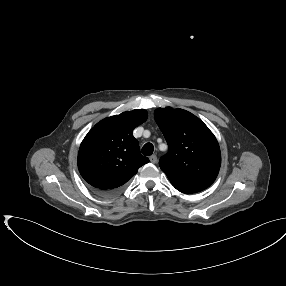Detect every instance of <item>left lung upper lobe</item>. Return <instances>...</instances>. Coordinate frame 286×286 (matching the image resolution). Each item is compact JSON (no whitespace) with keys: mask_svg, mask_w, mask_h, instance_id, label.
<instances>
[{"mask_svg":"<svg viewBox=\"0 0 286 286\" xmlns=\"http://www.w3.org/2000/svg\"><path fill=\"white\" fill-rule=\"evenodd\" d=\"M154 116L169 146L159 166L171 184L185 194L209 187L221 165L213 133L198 117L182 109L159 108Z\"/></svg>","mask_w":286,"mask_h":286,"instance_id":"1","label":"left lung upper lobe"}]
</instances>
